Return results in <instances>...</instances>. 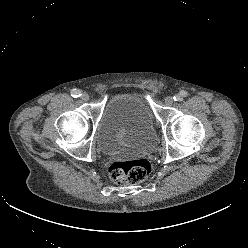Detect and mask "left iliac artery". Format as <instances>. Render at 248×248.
<instances>
[{
	"label": "left iliac artery",
	"mask_w": 248,
	"mask_h": 248,
	"mask_svg": "<svg viewBox=\"0 0 248 248\" xmlns=\"http://www.w3.org/2000/svg\"><path fill=\"white\" fill-rule=\"evenodd\" d=\"M187 96V92L186 91H184V90H182L179 94H176L174 97H173V99L175 100V101H181L184 97H186Z\"/></svg>",
	"instance_id": "1"
}]
</instances>
